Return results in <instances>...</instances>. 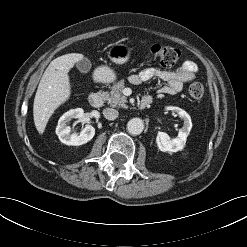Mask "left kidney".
Returning <instances> with one entry per match:
<instances>
[{"mask_svg": "<svg viewBox=\"0 0 247 247\" xmlns=\"http://www.w3.org/2000/svg\"><path fill=\"white\" fill-rule=\"evenodd\" d=\"M168 110L176 112L184 121L183 127L179 129L178 136L171 139L168 134L158 132L156 143L160 151L163 152H178L184 149L187 137L192 128L191 117L189 114L179 107H168Z\"/></svg>", "mask_w": 247, "mask_h": 247, "instance_id": "obj_1", "label": "left kidney"}]
</instances>
